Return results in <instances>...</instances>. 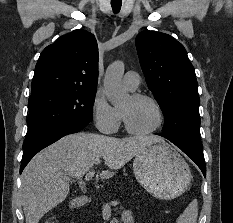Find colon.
I'll return each mask as SVG.
<instances>
[{
	"mask_svg": "<svg viewBox=\"0 0 233 223\" xmlns=\"http://www.w3.org/2000/svg\"><path fill=\"white\" fill-rule=\"evenodd\" d=\"M45 223H57L55 219L46 220Z\"/></svg>",
	"mask_w": 233,
	"mask_h": 223,
	"instance_id": "5ec220e1",
	"label": "colon"
}]
</instances>
